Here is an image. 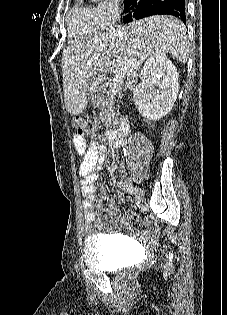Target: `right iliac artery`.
I'll use <instances>...</instances> for the list:
<instances>
[{
  "mask_svg": "<svg viewBox=\"0 0 227 315\" xmlns=\"http://www.w3.org/2000/svg\"><path fill=\"white\" fill-rule=\"evenodd\" d=\"M117 186L124 190L126 193L133 195L134 189L131 185L124 183L123 181H118Z\"/></svg>",
  "mask_w": 227,
  "mask_h": 315,
  "instance_id": "1",
  "label": "right iliac artery"
}]
</instances>
